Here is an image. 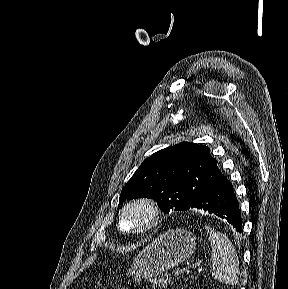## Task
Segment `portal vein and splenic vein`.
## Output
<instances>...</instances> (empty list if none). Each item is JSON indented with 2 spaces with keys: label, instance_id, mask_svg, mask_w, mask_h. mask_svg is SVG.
<instances>
[{
  "label": "portal vein and splenic vein",
  "instance_id": "obj_1",
  "mask_svg": "<svg viewBox=\"0 0 288 289\" xmlns=\"http://www.w3.org/2000/svg\"><path fill=\"white\" fill-rule=\"evenodd\" d=\"M188 270H189V268L187 266L182 267L174 273V276L179 275V274H184L185 272H188Z\"/></svg>",
  "mask_w": 288,
  "mask_h": 289
}]
</instances>
